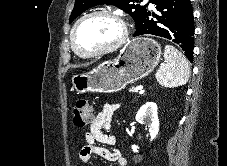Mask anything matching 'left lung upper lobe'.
<instances>
[{"instance_id": "left-lung-upper-lobe-1", "label": "left lung upper lobe", "mask_w": 227, "mask_h": 166, "mask_svg": "<svg viewBox=\"0 0 227 166\" xmlns=\"http://www.w3.org/2000/svg\"><path fill=\"white\" fill-rule=\"evenodd\" d=\"M137 0H76L74 9L70 16V23L87 9L99 5L109 4L127 12L135 21L136 31L140 27L142 20L147 12L146 6L135 5Z\"/></svg>"}]
</instances>
